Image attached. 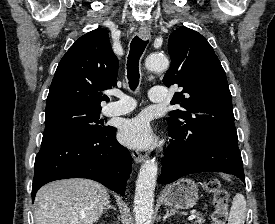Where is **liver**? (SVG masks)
<instances>
[{
	"label": "liver",
	"mask_w": 275,
	"mask_h": 224,
	"mask_svg": "<svg viewBox=\"0 0 275 224\" xmlns=\"http://www.w3.org/2000/svg\"><path fill=\"white\" fill-rule=\"evenodd\" d=\"M109 205L107 189L89 179H64L41 187L35 224H93Z\"/></svg>",
	"instance_id": "obj_1"
}]
</instances>
